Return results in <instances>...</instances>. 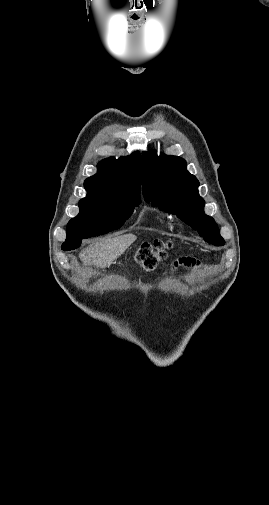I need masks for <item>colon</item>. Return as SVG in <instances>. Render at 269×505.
Instances as JSON below:
<instances>
[{
  "mask_svg": "<svg viewBox=\"0 0 269 505\" xmlns=\"http://www.w3.org/2000/svg\"><path fill=\"white\" fill-rule=\"evenodd\" d=\"M164 256V247L161 244H157L155 246H142L137 252L136 259L145 270L152 271ZM182 260H186V258L180 261Z\"/></svg>",
  "mask_w": 269,
  "mask_h": 505,
  "instance_id": "obj_1",
  "label": "colon"
}]
</instances>
